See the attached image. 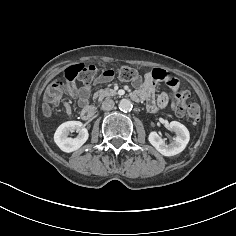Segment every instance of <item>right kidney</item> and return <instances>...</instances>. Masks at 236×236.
<instances>
[{"instance_id": "ca27d5eb", "label": "right kidney", "mask_w": 236, "mask_h": 236, "mask_svg": "<svg viewBox=\"0 0 236 236\" xmlns=\"http://www.w3.org/2000/svg\"><path fill=\"white\" fill-rule=\"evenodd\" d=\"M76 131L75 138L68 137L69 132ZM88 131L79 121H67L62 123L54 134L56 145L64 152H73L79 149L88 139Z\"/></svg>"}]
</instances>
